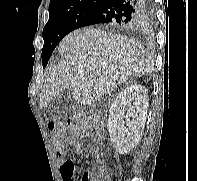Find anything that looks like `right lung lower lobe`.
Wrapping results in <instances>:
<instances>
[{
  "label": "right lung lower lobe",
  "instance_id": "obj_1",
  "mask_svg": "<svg viewBox=\"0 0 197 181\" xmlns=\"http://www.w3.org/2000/svg\"><path fill=\"white\" fill-rule=\"evenodd\" d=\"M153 15V0H106L87 15L78 28L102 24L131 30L141 28Z\"/></svg>",
  "mask_w": 197,
  "mask_h": 181
}]
</instances>
